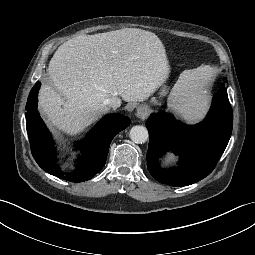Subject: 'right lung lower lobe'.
Listing matches in <instances>:
<instances>
[{"label": "right lung lower lobe", "mask_w": 255, "mask_h": 255, "mask_svg": "<svg viewBox=\"0 0 255 255\" xmlns=\"http://www.w3.org/2000/svg\"><path fill=\"white\" fill-rule=\"evenodd\" d=\"M41 83L36 82L26 104V129L31 151L38 165L51 175L70 182H83L93 178L105 165L109 146L120 131L127 128L130 119L120 114H108L88 133L78 146L81 150L76 168L71 173L61 170L56 163L55 143L37 111L38 91Z\"/></svg>", "instance_id": "obj_1"}]
</instances>
